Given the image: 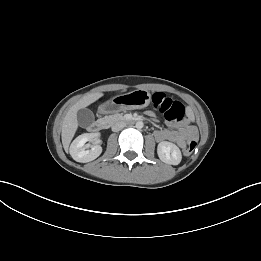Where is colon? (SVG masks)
I'll use <instances>...</instances> for the list:
<instances>
[{"instance_id": "1", "label": "colon", "mask_w": 261, "mask_h": 261, "mask_svg": "<svg viewBox=\"0 0 261 261\" xmlns=\"http://www.w3.org/2000/svg\"><path fill=\"white\" fill-rule=\"evenodd\" d=\"M153 105L158 109L168 121L188 122L185 107L179 101L173 100L164 93L157 92L152 97ZM196 142L190 141L183 149L186 156H190L196 149Z\"/></svg>"}]
</instances>
